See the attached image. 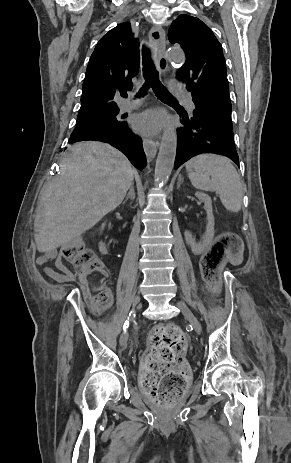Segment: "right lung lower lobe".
Returning <instances> with one entry per match:
<instances>
[{"instance_id":"98d812e1","label":"right lung lower lobe","mask_w":291,"mask_h":463,"mask_svg":"<svg viewBox=\"0 0 291 463\" xmlns=\"http://www.w3.org/2000/svg\"><path fill=\"white\" fill-rule=\"evenodd\" d=\"M84 140H97L111 144L125 154L139 170H142L147 165L142 140L130 131L127 122H122L117 126L101 127L71 135L69 143Z\"/></svg>"}]
</instances>
